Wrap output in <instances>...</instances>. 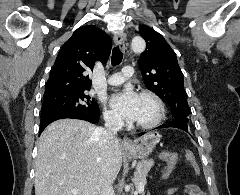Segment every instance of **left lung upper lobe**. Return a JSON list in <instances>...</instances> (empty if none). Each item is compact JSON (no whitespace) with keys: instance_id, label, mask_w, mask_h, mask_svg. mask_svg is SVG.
I'll return each mask as SVG.
<instances>
[{"instance_id":"obj_1","label":"left lung upper lobe","mask_w":240,"mask_h":195,"mask_svg":"<svg viewBox=\"0 0 240 195\" xmlns=\"http://www.w3.org/2000/svg\"><path fill=\"white\" fill-rule=\"evenodd\" d=\"M139 34L146 41V50L139 59L145 86L171 107L173 119L169 123L188 127L189 107L176 54L153 28L142 25Z\"/></svg>"}]
</instances>
